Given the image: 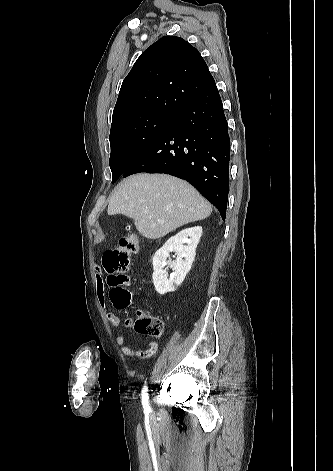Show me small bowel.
<instances>
[{
  "instance_id": "small-bowel-1",
  "label": "small bowel",
  "mask_w": 333,
  "mask_h": 471,
  "mask_svg": "<svg viewBox=\"0 0 333 471\" xmlns=\"http://www.w3.org/2000/svg\"><path fill=\"white\" fill-rule=\"evenodd\" d=\"M96 292H97V298H98L99 303L101 304L102 307L105 308L106 294H105L104 283L101 278V269L99 266H96ZM107 319L109 323L113 325L114 327L116 328L121 327V320L116 314L112 312H108ZM133 324H134V318L132 317H127L123 322V326L126 329H130L133 326ZM115 341H116V344L120 346L122 353L126 356H131V357L146 359L153 356L158 349V344L156 342H150L148 343L147 348L145 350H135L125 345V337L122 334L118 335Z\"/></svg>"
}]
</instances>
